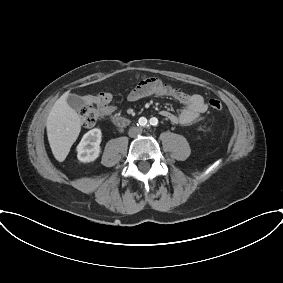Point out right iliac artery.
Masks as SVG:
<instances>
[{
    "label": "right iliac artery",
    "instance_id": "right-iliac-artery-1",
    "mask_svg": "<svg viewBox=\"0 0 283 283\" xmlns=\"http://www.w3.org/2000/svg\"><path fill=\"white\" fill-rule=\"evenodd\" d=\"M139 124H140L141 126H145V125L147 124V119L144 118V117H141V118L139 119Z\"/></svg>",
    "mask_w": 283,
    "mask_h": 283
}]
</instances>
